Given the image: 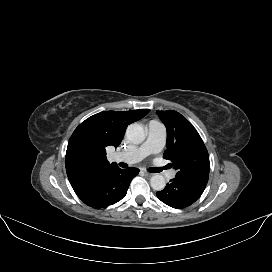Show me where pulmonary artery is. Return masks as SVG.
I'll return each mask as SVG.
<instances>
[{"mask_svg": "<svg viewBox=\"0 0 272 272\" xmlns=\"http://www.w3.org/2000/svg\"><path fill=\"white\" fill-rule=\"evenodd\" d=\"M166 142V130L162 124L156 121H151L147 125V138L145 142L131 151L116 152L114 158L117 161H123L127 163H137L143 160L145 157L159 153ZM176 171L170 169L166 172V176L169 179L175 177Z\"/></svg>", "mask_w": 272, "mask_h": 272, "instance_id": "1", "label": "pulmonary artery"}]
</instances>
